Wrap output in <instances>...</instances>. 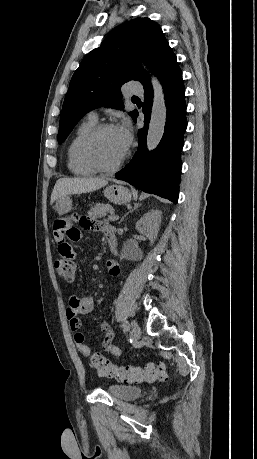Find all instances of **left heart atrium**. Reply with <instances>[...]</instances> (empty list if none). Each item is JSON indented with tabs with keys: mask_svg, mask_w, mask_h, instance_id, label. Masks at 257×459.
<instances>
[{
	"mask_svg": "<svg viewBox=\"0 0 257 459\" xmlns=\"http://www.w3.org/2000/svg\"><path fill=\"white\" fill-rule=\"evenodd\" d=\"M115 129L121 147L126 152L132 141V129L130 123L127 120H123Z\"/></svg>",
	"mask_w": 257,
	"mask_h": 459,
	"instance_id": "39dd6f15",
	"label": "left heart atrium"
}]
</instances>
